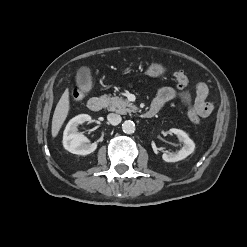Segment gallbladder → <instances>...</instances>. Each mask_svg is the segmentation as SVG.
Here are the masks:
<instances>
[{
	"label": "gallbladder",
	"mask_w": 247,
	"mask_h": 247,
	"mask_svg": "<svg viewBox=\"0 0 247 247\" xmlns=\"http://www.w3.org/2000/svg\"><path fill=\"white\" fill-rule=\"evenodd\" d=\"M91 72L86 66H82L78 69L76 74V82L80 88H86L91 86Z\"/></svg>",
	"instance_id": "1"
}]
</instances>
